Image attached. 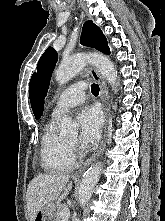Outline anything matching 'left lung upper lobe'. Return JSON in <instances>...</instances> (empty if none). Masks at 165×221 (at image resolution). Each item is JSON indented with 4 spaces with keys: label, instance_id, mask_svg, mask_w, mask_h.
I'll use <instances>...</instances> for the list:
<instances>
[{
    "label": "left lung upper lobe",
    "instance_id": "left-lung-upper-lobe-1",
    "mask_svg": "<svg viewBox=\"0 0 165 221\" xmlns=\"http://www.w3.org/2000/svg\"><path fill=\"white\" fill-rule=\"evenodd\" d=\"M81 44L96 48L97 50L110 54L107 40L102 31L92 21H86L83 25ZM56 51L49 47L41 56L37 72H35L29 84V98L36 119L41 118L44 108V98L49 87V80L57 62Z\"/></svg>",
    "mask_w": 165,
    "mask_h": 221
}]
</instances>
